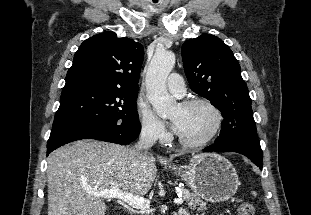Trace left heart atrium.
<instances>
[{
  "label": "left heart atrium",
  "mask_w": 311,
  "mask_h": 215,
  "mask_svg": "<svg viewBox=\"0 0 311 215\" xmlns=\"http://www.w3.org/2000/svg\"><path fill=\"white\" fill-rule=\"evenodd\" d=\"M172 128H173V130L178 134V133H179V130H180L179 122L173 121V122H172Z\"/></svg>",
  "instance_id": "39dd6f15"
}]
</instances>
